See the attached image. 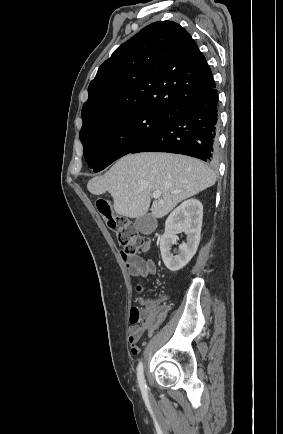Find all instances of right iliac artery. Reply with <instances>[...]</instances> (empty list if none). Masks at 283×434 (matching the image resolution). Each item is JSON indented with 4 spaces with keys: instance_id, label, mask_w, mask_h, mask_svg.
<instances>
[{
    "instance_id": "right-iliac-artery-1",
    "label": "right iliac artery",
    "mask_w": 283,
    "mask_h": 434,
    "mask_svg": "<svg viewBox=\"0 0 283 434\" xmlns=\"http://www.w3.org/2000/svg\"><path fill=\"white\" fill-rule=\"evenodd\" d=\"M137 379H138L139 387L141 389L142 394L146 395L147 394V385H146V381H145V377H144L142 362H140L138 367H137Z\"/></svg>"
}]
</instances>
